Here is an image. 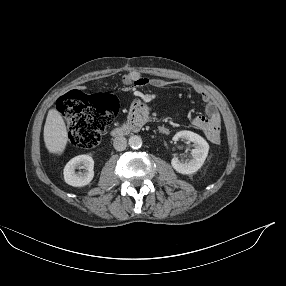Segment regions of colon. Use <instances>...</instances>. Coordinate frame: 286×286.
I'll return each mask as SVG.
<instances>
[{
  "instance_id": "5ec220e1",
  "label": "colon",
  "mask_w": 286,
  "mask_h": 286,
  "mask_svg": "<svg viewBox=\"0 0 286 286\" xmlns=\"http://www.w3.org/2000/svg\"><path fill=\"white\" fill-rule=\"evenodd\" d=\"M56 108L67 124L70 144L78 149H90L97 145L116 116L119 103L111 94L88 96L71 90L58 99ZM149 120L158 124L162 115L153 111ZM201 136L206 143L214 144L221 139L222 131L217 124L209 123L202 128Z\"/></svg>"
}]
</instances>
